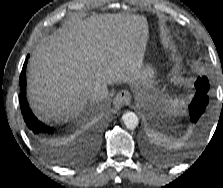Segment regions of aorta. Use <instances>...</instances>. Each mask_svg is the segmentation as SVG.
I'll use <instances>...</instances> for the list:
<instances>
[{
  "label": "aorta",
  "mask_w": 223,
  "mask_h": 188,
  "mask_svg": "<svg viewBox=\"0 0 223 188\" xmlns=\"http://www.w3.org/2000/svg\"><path fill=\"white\" fill-rule=\"evenodd\" d=\"M122 120L128 129H135L139 124L137 115L133 112H126L122 116Z\"/></svg>",
  "instance_id": "1"
}]
</instances>
